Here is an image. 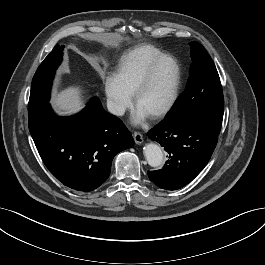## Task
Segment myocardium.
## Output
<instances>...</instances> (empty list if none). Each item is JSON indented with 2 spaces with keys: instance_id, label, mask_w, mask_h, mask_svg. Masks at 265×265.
<instances>
[{
  "instance_id": "f54148a6",
  "label": "myocardium",
  "mask_w": 265,
  "mask_h": 265,
  "mask_svg": "<svg viewBox=\"0 0 265 265\" xmlns=\"http://www.w3.org/2000/svg\"><path fill=\"white\" fill-rule=\"evenodd\" d=\"M164 60H171L173 62L174 69H175V80H174L171 94L167 102L160 109H158L157 111L149 115V117L152 119H158L168 114L177 102L180 87H181V79H182L181 67H180L178 60L171 54H161L160 56L156 57L148 65V67L146 68L145 72L141 76L140 80L138 81L132 93V102H133V105L136 106V103L139 97L141 96V94L144 92V90L147 88L148 84L150 83V80L157 66Z\"/></svg>"
}]
</instances>
